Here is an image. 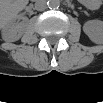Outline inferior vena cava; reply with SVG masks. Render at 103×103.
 Instances as JSON below:
<instances>
[{
	"label": "inferior vena cava",
	"instance_id": "obj_1",
	"mask_svg": "<svg viewBox=\"0 0 103 103\" xmlns=\"http://www.w3.org/2000/svg\"><path fill=\"white\" fill-rule=\"evenodd\" d=\"M47 8V2L45 0H37L35 2V9L38 11H44Z\"/></svg>",
	"mask_w": 103,
	"mask_h": 103
}]
</instances>
